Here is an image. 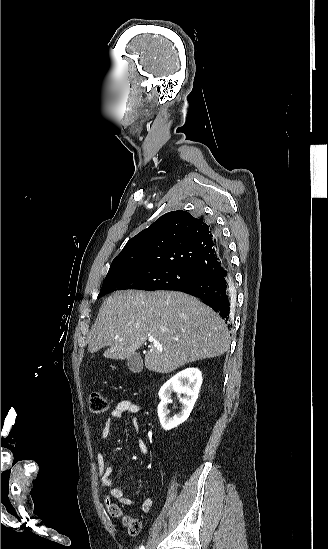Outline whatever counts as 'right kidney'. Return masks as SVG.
I'll return each instance as SVG.
<instances>
[{
	"label": "right kidney",
	"mask_w": 328,
	"mask_h": 549,
	"mask_svg": "<svg viewBox=\"0 0 328 549\" xmlns=\"http://www.w3.org/2000/svg\"><path fill=\"white\" fill-rule=\"evenodd\" d=\"M201 385L202 373L199 369H194V367L180 371L172 379H169L167 383H164L158 393L159 399H161V403L158 405V417L165 431L178 427L180 423H184L188 419L196 403ZM173 391H176V393H185L186 397L180 399V403L183 405L180 415L167 417L169 415L168 403H172L170 397Z\"/></svg>",
	"instance_id": "right-kidney-1"
}]
</instances>
